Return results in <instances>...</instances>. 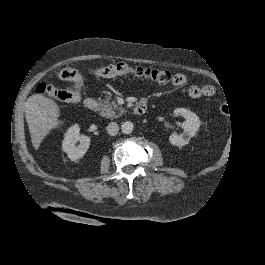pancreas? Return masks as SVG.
Returning <instances> with one entry per match:
<instances>
[{
	"instance_id": "1",
	"label": "pancreas",
	"mask_w": 265,
	"mask_h": 265,
	"mask_svg": "<svg viewBox=\"0 0 265 265\" xmlns=\"http://www.w3.org/2000/svg\"><path fill=\"white\" fill-rule=\"evenodd\" d=\"M99 105L101 107V113L100 115L102 117L115 119L118 118V115L116 113L118 111L121 112V114H124V111L113 99L112 95H108L104 100L99 99Z\"/></svg>"
}]
</instances>
